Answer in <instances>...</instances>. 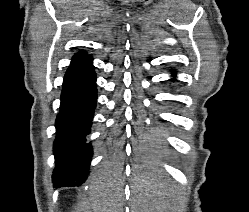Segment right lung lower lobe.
I'll use <instances>...</instances> for the list:
<instances>
[{"instance_id":"98d812e1","label":"right lung lower lobe","mask_w":249,"mask_h":212,"mask_svg":"<svg viewBox=\"0 0 249 212\" xmlns=\"http://www.w3.org/2000/svg\"><path fill=\"white\" fill-rule=\"evenodd\" d=\"M96 99V74L92 56L88 55L72 62L64 77L54 143L56 167L52 179L55 187L80 185L88 176L92 148L86 136L90 132Z\"/></svg>"}]
</instances>
